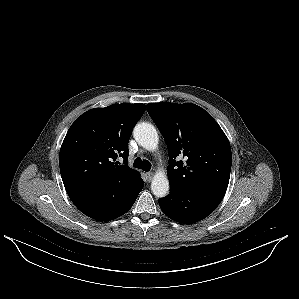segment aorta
Instances as JSON below:
<instances>
[{"instance_id":"obj_1","label":"aorta","mask_w":299,"mask_h":299,"mask_svg":"<svg viewBox=\"0 0 299 299\" xmlns=\"http://www.w3.org/2000/svg\"><path fill=\"white\" fill-rule=\"evenodd\" d=\"M133 136L140 146L149 151H155L158 148V133L156 128L150 123H138L134 127ZM151 190L158 198L167 195L169 191V180L164 172H156L151 182Z\"/></svg>"}]
</instances>
